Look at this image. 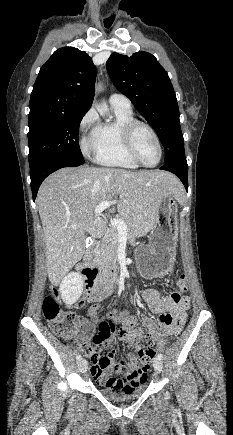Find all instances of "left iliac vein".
<instances>
[{
    "label": "left iliac vein",
    "instance_id": "left-iliac-vein-1",
    "mask_svg": "<svg viewBox=\"0 0 233 435\" xmlns=\"http://www.w3.org/2000/svg\"><path fill=\"white\" fill-rule=\"evenodd\" d=\"M153 367L157 373L162 371L163 363L158 357L153 360Z\"/></svg>",
    "mask_w": 233,
    "mask_h": 435
}]
</instances>
